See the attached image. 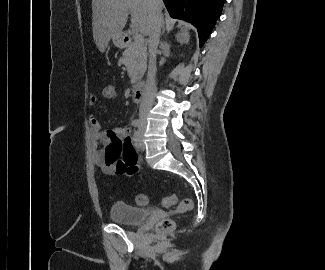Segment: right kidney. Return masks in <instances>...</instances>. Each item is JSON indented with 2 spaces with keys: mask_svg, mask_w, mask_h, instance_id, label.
<instances>
[{
  "mask_svg": "<svg viewBox=\"0 0 325 270\" xmlns=\"http://www.w3.org/2000/svg\"><path fill=\"white\" fill-rule=\"evenodd\" d=\"M176 38L180 43H187L189 41L188 34L185 31L179 32Z\"/></svg>",
  "mask_w": 325,
  "mask_h": 270,
  "instance_id": "1",
  "label": "right kidney"
}]
</instances>
